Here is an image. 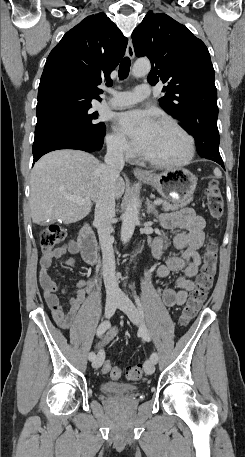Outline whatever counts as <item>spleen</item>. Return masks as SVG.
Wrapping results in <instances>:
<instances>
[{"instance_id": "3e777b00", "label": "spleen", "mask_w": 245, "mask_h": 457, "mask_svg": "<svg viewBox=\"0 0 245 457\" xmlns=\"http://www.w3.org/2000/svg\"><path fill=\"white\" fill-rule=\"evenodd\" d=\"M215 176H217V178H220V176H222V172L220 170V168H214L213 170Z\"/></svg>"}]
</instances>
